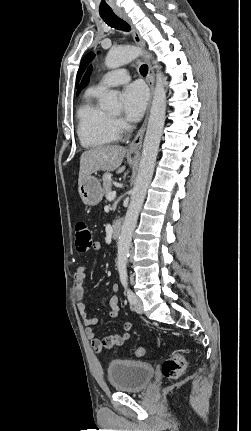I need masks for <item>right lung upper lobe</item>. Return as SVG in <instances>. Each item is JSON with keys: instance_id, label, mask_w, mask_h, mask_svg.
I'll return each mask as SVG.
<instances>
[{"instance_id": "right-lung-upper-lobe-1", "label": "right lung upper lobe", "mask_w": 251, "mask_h": 431, "mask_svg": "<svg viewBox=\"0 0 251 431\" xmlns=\"http://www.w3.org/2000/svg\"><path fill=\"white\" fill-rule=\"evenodd\" d=\"M91 72H92V66L89 67L86 74L84 75L82 82L78 88L77 95L89 83Z\"/></svg>"}]
</instances>
